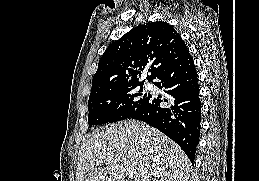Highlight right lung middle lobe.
<instances>
[{
  "label": "right lung middle lobe",
  "mask_w": 259,
  "mask_h": 181,
  "mask_svg": "<svg viewBox=\"0 0 259 181\" xmlns=\"http://www.w3.org/2000/svg\"><path fill=\"white\" fill-rule=\"evenodd\" d=\"M150 98L151 94L143 92V84L112 89L89 97V126L130 118L140 111Z\"/></svg>",
  "instance_id": "obj_1"
}]
</instances>
